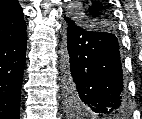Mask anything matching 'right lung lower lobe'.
Segmentation results:
<instances>
[{
	"instance_id": "1",
	"label": "right lung lower lobe",
	"mask_w": 142,
	"mask_h": 119,
	"mask_svg": "<svg viewBox=\"0 0 142 119\" xmlns=\"http://www.w3.org/2000/svg\"><path fill=\"white\" fill-rule=\"evenodd\" d=\"M26 30L0 42V119L20 118V96L26 59Z\"/></svg>"
}]
</instances>
